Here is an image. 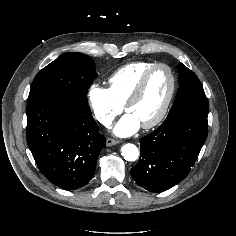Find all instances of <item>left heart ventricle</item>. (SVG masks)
Returning a JSON list of instances; mask_svg holds the SVG:
<instances>
[{
    "instance_id": "b2bd125f",
    "label": "left heart ventricle",
    "mask_w": 236,
    "mask_h": 236,
    "mask_svg": "<svg viewBox=\"0 0 236 236\" xmlns=\"http://www.w3.org/2000/svg\"><path fill=\"white\" fill-rule=\"evenodd\" d=\"M170 89V76L167 70L160 68L149 77L140 98L127 110L141 125L152 121L161 111Z\"/></svg>"
}]
</instances>
